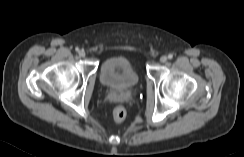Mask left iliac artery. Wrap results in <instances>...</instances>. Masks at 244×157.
<instances>
[{
	"label": "left iliac artery",
	"instance_id": "44dca946",
	"mask_svg": "<svg viewBox=\"0 0 244 157\" xmlns=\"http://www.w3.org/2000/svg\"><path fill=\"white\" fill-rule=\"evenodd\" d=\"M168 58H169V59H172V58H173V55H172V54H169V55H168Z\"/></svg>",
	"mask_w": 244,
	"mask_h": 157
}]
</instances>
